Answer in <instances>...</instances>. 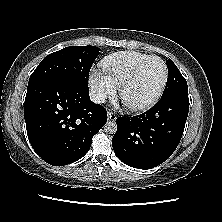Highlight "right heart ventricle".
<instances>
[{"mask_svg":"<svg viewBox=\"0 0 222 222\" xmlns=\"http://www.w3.org/2000/svg\"><path fill=\"white\" fill-rule=\"evenodd\" d=\"M148 57L150 55L135 51L116 52L106 56L101 61V67L107 78L120 87L136 66Z\"/></svg>","mask_w":222,"mask_h":222,"instance_id":"1","label":"right heart ventricle"}]
</instances>
